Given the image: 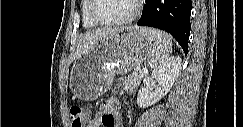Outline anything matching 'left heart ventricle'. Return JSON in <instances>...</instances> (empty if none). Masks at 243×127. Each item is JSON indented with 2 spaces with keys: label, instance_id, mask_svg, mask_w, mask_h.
Segmentation results:
<instances>
[{
  "label": "left heart ventricle",
  "instance_id": "b2bd125f",
  "mask_svg": "<svg viewBox=\"0 0 243 127\" xmlns=\"http://www.w3.org/2000/svg\"><path fill=\"white\" fill-rule=\"evenodd\" d=\"M134 10L133 0H97L95 12L98 18L114 21L130 15Z\"/></svg>",
  "mask_w": 243,
  "mask_h": 127
}]
</instances>
